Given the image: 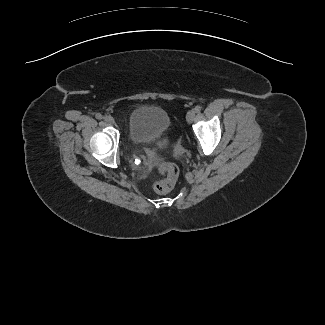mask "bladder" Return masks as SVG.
Instances as JSON below:
<instances>
[{
  "label": "bladder",
  "instance_id": "bladder-1",
  "mask_svg": "<svg viewBox=\"0 0 325 325\" xmlns=\"http://www.w3.org/2000/svg\"><path fill=\"white\" fill-rule=\"evenodd\" d=\"M171 128L172 120L167 111L143 105L136 107L129 116L128 138L133 145L145 144L164 136Z\"/></svg>",
  "mask_w": 325,
  "mask_h": 325
}]
</instances>
